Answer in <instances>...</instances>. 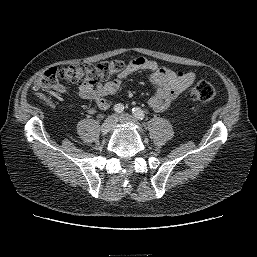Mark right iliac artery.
Here are the masks:
<instances>
[{"label": "right iliac artery", "instance_id": "1", "mask_svg": "<svg viewBox=\"0 0 257 257\" xmlns=\"http://www.w3.org/2000/svg\"><path fill=\"white\" fill-rule=\"evenodd\" d=\"M123 110H124V106L122 104H116L114 106V111L116 113H121V112H123Z\"/></svg>", "mask_w": 257, "mask_h": 257}]
</instances>
